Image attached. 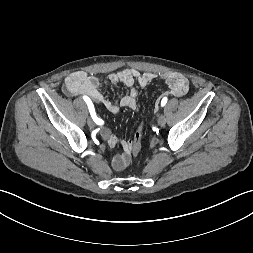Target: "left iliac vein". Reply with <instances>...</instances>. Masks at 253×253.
Wrapping results in <instances>:
<instances>
[{
    "mask_svg": "<svg viewBox=\"0 0 253 253\" xmlns=\"http://www.w3.org/2000/svg\"><path fill=\"white\" fill-rule=\"evenodd\" d=\"M159 125H164L166 123V117L164 115H160L157 119Z\"/></svg>",
    "mask_w": 253,
    "mask_h": 253,
    "instance_id": "obj_1",
    "label": "left iliac vein"
}]
</instances>
